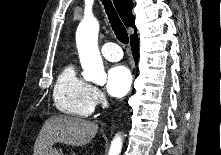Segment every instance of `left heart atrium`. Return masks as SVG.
<instances>
[{"label":"left heart atrium","instance_id":"left-heart-atrium-1","mask_svg":"<svg viewBox=\"0 0 221 155\" xmlns=\"http://www.w3.org/2000/svg\"><path fill=\"white\" fill-rule=\"evenodd\" d=\"M132 82V76L129 69L123 65L112 67L107 73V92L116 98L125 96Z\"/></svg>","mask_w":221,"mask_h":155}]
</instances>
